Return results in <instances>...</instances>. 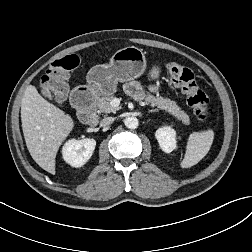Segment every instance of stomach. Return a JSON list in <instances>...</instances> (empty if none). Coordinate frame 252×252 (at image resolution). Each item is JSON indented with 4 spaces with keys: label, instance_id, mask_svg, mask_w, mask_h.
<instances>
[{
    "label": "stomach",
    "instance_id": "1",
    "mask_svg": "<svg viewBox=\"0 0 252 252\" xmlns=\"http://www.w3.org/2000/svg\"><path fill=\"white\" fill-rule=\"evenodd\" d=\"M146 70V58L142 49L125 47L114 53L109 64L96 65L87 74V85H80L75 91H87L92 95H109L117 90L118 82H127L141 76ZM160 67L153 66L149 72L152 79L160 75Z\"/></svg>",
    "mask_w": 252,
    "mask_h": 252
}]
</instances>
